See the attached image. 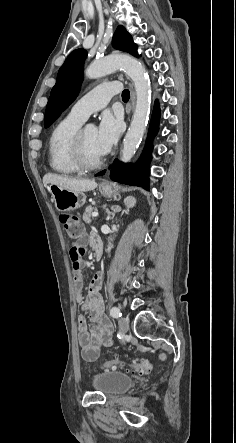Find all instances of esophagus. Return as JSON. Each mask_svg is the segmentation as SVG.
<instances>
[{
	"instance_id": "34e87169",
	"label": "esophagus",
	"mask_w": 236,
	"mask_h": 443,
	"mask_svg": "<svg viewBox=\"0 0 236 443\" xmlns=\"http://www.w3.org/2000/svg\"><path fill=\"white\" fill-rule=\"evenodd\" d=\"M130 91H131V105H132V110L134 109L135 106V91L132 85H130ZM102 185H107L108 181L107 180H102L101 182Z\"/></svg>"
}]
</instances>
